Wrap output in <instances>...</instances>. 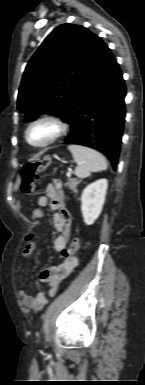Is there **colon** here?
<instances>
[{"mask_svg": "<svg viewBox=\"0 0 145 385\" xmlns=\"http://www.w3.org/2000/svg\"><path fill=\"white\" fill-rule=\"evenodd\" d=\"M50 163V158L48 156L43 157L38 162L28 163L24 166L21 171V191L24 194H31L34 190L35 184L41 177L43 168ZM33 218L35 220H40L42 218V212L39 209L33 211ZM27 245L25 248V255H30L35 248L34 237L29 235L27 237ZM78 248V240H72L69 247H65L61 250V255L65 260H70L75 264L74 253Z\"/></svg>", "mask_w": 145, "mask_h": 385, "instance_id": "5ec220e1", "label": "colon"}]
</instances>
